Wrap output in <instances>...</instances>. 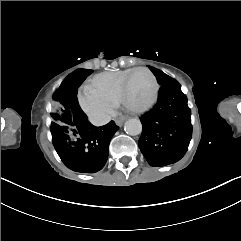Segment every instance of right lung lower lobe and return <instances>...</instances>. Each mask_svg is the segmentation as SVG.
Here are the masks:
<instances>
[{
    "instance_id": "right-lung-lower-lobe-1",
    "label": "right lung lower lobe",
    "mask_w": 241,
    "mask_h": 241,
    "mask_svg": "<svg viewBox=\"0 0 241 241\" xmlns=\"http://www.w3.org/2000/svg\"><path fill=\"white\" fill-rule=\"evenodd\" d=\"M66 105L71 113L74 127L71 130L51 131L53 145L62 162L71 170L95 173L103 168L108 158L109 143L119 129L113 121L93 126L81 110L77 100V88L85 80L78 72L67 78Z\"/></svg>"
}]
</instances>
